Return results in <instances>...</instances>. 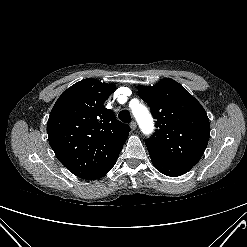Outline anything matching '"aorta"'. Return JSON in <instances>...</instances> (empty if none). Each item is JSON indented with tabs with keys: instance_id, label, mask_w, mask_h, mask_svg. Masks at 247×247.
Listing matches in <instances>:
<instances>
[{
	"instance_id": "1",
	"label": "aorta",
	"mask_w": 247,
	"mask_h": 247,
	"mask_svg": "<svg viewBox=\"0 0 247 247\" xmlns=\"http://www.w3.org/2000/svg\"><path fill=\"white\" fill-rule=\"evenodd\" d=\"M133 113L139 123L141 130L146 134L151 133L153 129V121L147 109L144 106L139 105L134 108Z\"/></svg>"
}]
</instances>
